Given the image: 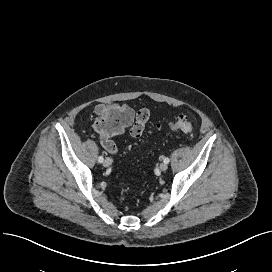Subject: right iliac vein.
Wrapping results in <instances>:
<instances>
[{
  "mask_svg": "<svg viewBox=\"0 0 272 272\" xmlns=\"http://www.w3.org/2000/svg\"><path fill=\"white\" fill-rule=\"evenodd\" d=\"M111 165V159L110 158H106L103 162V166L104 167H109Z\"/></svg>",
  "mask_w": 272,
  "mask_h": 272,
  "instance_id": "1",
  "label": "right iliac vein"
}]
</instances>
